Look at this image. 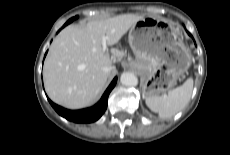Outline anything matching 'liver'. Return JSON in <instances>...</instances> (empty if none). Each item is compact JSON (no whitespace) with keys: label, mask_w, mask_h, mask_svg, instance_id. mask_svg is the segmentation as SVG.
<instances>
[{"label":"liver","mask_w":230,"mask_h":155,"mask_svg":"<svg viewBox=\"0 0 230 155\" xmlns=\"http://www.w3.org/2000/svg\"><path fill=\"white\" fill-rule=\"evenodd\" d=\"M142 15L122 14L85 27L67 26L54 39L44 63L45 89L50 99L69 109L84 108L104 91L109 73L103 68L112 63L102 40L112 46Z\"/></svg>","instance_id":"6515ba94"}]
</instances>
